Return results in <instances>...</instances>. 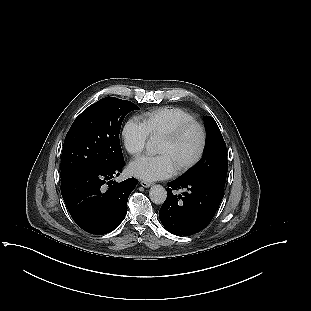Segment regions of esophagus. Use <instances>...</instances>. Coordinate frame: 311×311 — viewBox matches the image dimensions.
<instances>
[{"label":"esophagus","instance_id":"1","mask_svg":"<svg viewBox=\"0 0 311 311\" xmlns=\"http://www.w3.org/2000/svg\"><path fill=\"white\" fill-rule=\"evenodd\" d=\"M140 184H141V186H143L145 188H148L152 185V183L146 182V181H141Z\"/></svg>","mask_w":311,"mask_h":311}]
</instances>
